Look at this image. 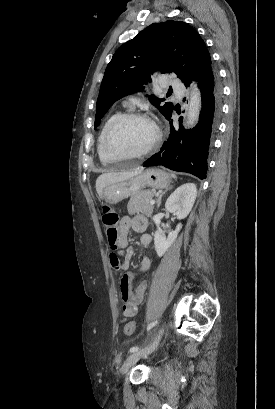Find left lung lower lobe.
<instances>
[{
	"label": "left lung lower lobe",
	"mask_w": 275,
	"mask_h": 409,
	"mask_svg": "<svg viewBox=\"0 0 275 409\" xmlns=\"http://www.w3.org/2000/svg\"><path fill=\"white\" fill-rule=\"evenodd\" d=\"M202 97V109L198 124L190 131L181 125L173 126L172 110L166 118L170 121V135L161 150L150 157L144 166L162 165L174 171L186 172L206 179L207 158L211 137L218 129L222 110V86L218 71L208 66L195 78ZM186 84L185 86H188Z\"/></svg>",
	"instance_id": "0a47b994"
}]
</instances>
